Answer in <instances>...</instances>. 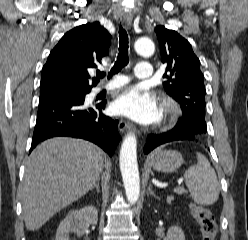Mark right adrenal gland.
<instances>
[{
	"label": "right adrenal gland",
	"mask_w": 248,
	"mask_h": 240,
	"mask_svg": "<svg viewBox=\"0 0 248 240\" xmlns=\"http://www.w3.org/2000/svg\"><path fill=\"white\" fill-rule=\"evenodd\" d=\"M99 182H100V179H98V180H97V182L95 183V185H94V187H93V188H96L97 193H99V192H100Z\"/></svg>",
	"instance_id": "right-adrenal-gland-1"
}]
</instances>
